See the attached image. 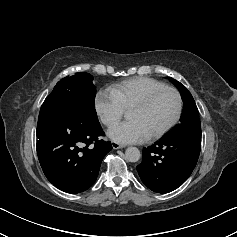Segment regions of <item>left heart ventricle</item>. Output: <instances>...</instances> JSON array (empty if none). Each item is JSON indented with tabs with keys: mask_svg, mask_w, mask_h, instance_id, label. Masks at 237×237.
<instances>
[{
	"mask_svg": "<svg viewBox=\"0 0 237 237\" xmlns=\"http://www.w3.org/2000/svg\"><path fill=\"white\" fill-rule=\"evenodd\" d=\"M176 109V96L171 92H164L146 108H130L128 117L130 120L139 121L150 136L163 128L173 118Z\"/></svg>",
	"mask_w": 237,
	"mask_h": 237,
	"instance_id": "1",
	"label": "left heart ventricle"
}]
</instances>
